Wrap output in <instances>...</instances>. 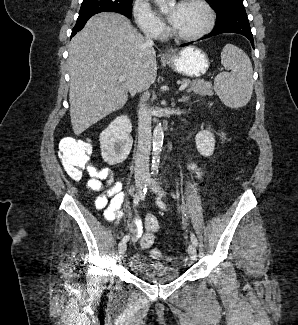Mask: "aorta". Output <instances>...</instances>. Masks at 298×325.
Here are the masks:
<instances>
[{"label":"aorta","mask_w":298,"mask_h":325,"mask_svg":"<svg viewBox=\"0 0 298 325\" xmlns=\"http://www.w3.org/2000/svg\"><path fill=\"white\" fill-rule=\"evenodd\" d=\"M157 2L158 6L161 8H170V6H175L176 0H154ZM164 132L161 124L155 126L153 130V148H152V160H151V169L152 171H157L159 169L160 163V152L162 150Z\"/></svg>","instance_id":"1"}]
</instances>
